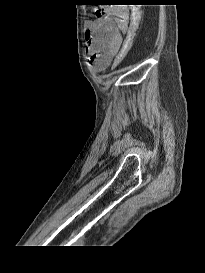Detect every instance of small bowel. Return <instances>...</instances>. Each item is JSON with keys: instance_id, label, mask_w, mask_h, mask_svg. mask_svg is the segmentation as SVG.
<instances>
[{"instance_id": "obj_1", "label": "small bowel", "mask_w": 205, "mask_h": 273, "mask_svg": "<svg viewBox=\"0 0 205 273\" xmlns=\"http://www.w3.org/2000/svg\"><path fill=\"white\" fill-rule=\"evenodd\" d=\"M133 16L116 6L100 9L98 19L86 25V53L97 72H104L113 62L130 29Z\"/></svg>"}]
</instances>
